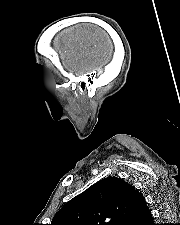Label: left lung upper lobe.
I'll return each instance as SVG.
<instances>
[{"instance_id": "obj_1", "label": "left lung upper lobe", "mask_w": 180, "mask_h": 225, "mask_svg": "<svg viewBox=\"0 0 180 225\" xmlns=\"http://www.w3.org/2000/svg\"><path fill=\"white\" fill-rule=\"evenodd\" d=\"M146 207L144 197L133 186L108 177L65 204L50 225H125Z\"/></svg>"}]
</instances>
